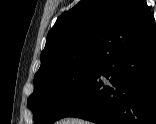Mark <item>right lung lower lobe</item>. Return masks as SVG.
Instances as JSON below:
<instances>
[{"label":"right lung lower lobe","mask_w":156,"mask_h":124,"mask_svg":"<svg viewBox=\"0 0 156 124\" xmlns=\"http://www.w3.org/2000/svg\"><path fill=\"white\" fill-rule=\"evenodd\" d=\"M64 117L99 124H156L155 26L135 30L110 47Z\"/></svg>","instance_id":"98d812e1"}]
</instances>
